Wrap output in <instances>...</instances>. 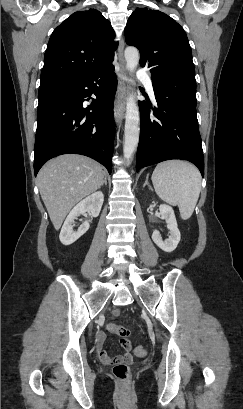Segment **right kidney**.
I'll list each match as a JSON object with an SVG mask.
<instances>
[{
    "label": "right kidney",
    "mask_w": 243,
    "mask_h": 409,
    "mask_svg": "<svg viewBox=\"0 0 243 409\" xmlns=\"http://www.w3.org/2000/svg\"><path fill=\"white\" fill-rule=\"evenodd\" d=\"M103 201L104 195L101 191H98L83 199L71 210L59 235L62 244L70 245L88 231L90 224L87 221L83 222L76 232H73L72 224L78 216L87 211H90L93 217H97L101 211Z\"/></svg>",
    "instance_id": "1"
}]
</instances>
